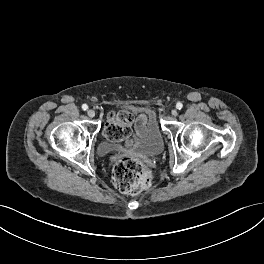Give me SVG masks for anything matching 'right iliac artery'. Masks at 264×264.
<instances>
[{"label": "right iliac artery", "mask_w": 264, "mask_h": 264, "mask_svg": "<svg viewBox=\"0 0 264 264\" xmlns=\"http://www.w3.org/2000/svg\"><path fill=\"white\" fill-rule=\"evenodd\" d=\"M82 109H83L84 111H86V110L88 109V106H87L86 104H83V105H82Z\"/></svg>", "instance_id": "obj_1"}]
</instances>
